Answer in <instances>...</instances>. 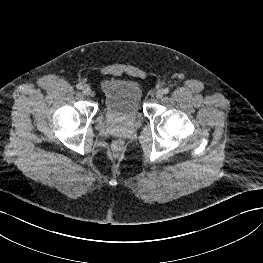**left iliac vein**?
<instances>
[{
  "mask_svg": "<svg viewBox=\"0 0 263 263\" xmlns=\"http://www.w3.org/2000/svg\"><path fill=\"white\" fill-rule=\"evenodd\" d=\"M163 95H164V92H163V90H161V89L158 90V91L155 93V96H156V98H158V99L162 98Z\"/></svg>",
  "mask_w": 263,
  "mask_h": 263,
  "instance_id": "1",
  "label": "left iliac vein"
}]
</instances>
